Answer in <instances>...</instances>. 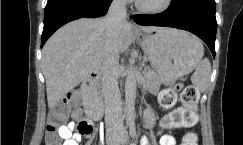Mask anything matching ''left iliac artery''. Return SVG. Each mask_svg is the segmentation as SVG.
<instances>
[{"label": "left iliac artery", "instance_id": "44dca946", "mask_svg": "<svg viewBox=\"0 0 243 145\" xmlns=\"http://www.w3.org/2000/svg\"><path fill=\"white\" fill-rule=\"evenodd\" d=\"M129 132H130L131 137L134 138L136 135V128H135V124L133 122L129 124Z\"/></svg>", "mask_w": 243, "mask_h": 145}]
</instances>
